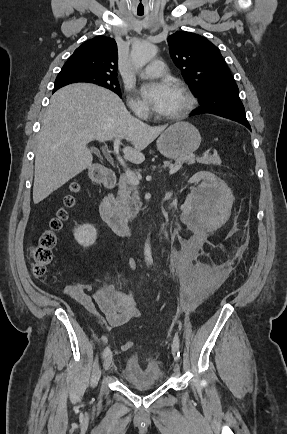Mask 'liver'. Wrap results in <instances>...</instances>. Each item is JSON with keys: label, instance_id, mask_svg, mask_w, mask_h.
I'll use <instances>...</instances> for the list:
<instances>
[{"label": "liver", "instance_id": "liver-1", "mask_svg": "<svg viewBox=\"0 0 287 434\" xmlns=\"http://www.w3.org/2000/svg\"><path fill=\"white\" fill-rule=\"evenodd\" d=\"M165 126L151 127L133 117L113 92L91 84H72L58 90L42 116L35 155L33 201L38 204L91 166L87 144L127 139L123 153L132 163L144 160L142 150Z\"/></svg>", "mask_w": 287, "mask_h": 434}]
</instances>
